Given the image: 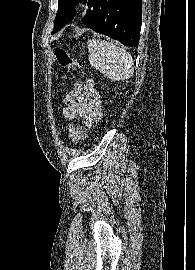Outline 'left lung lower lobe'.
<instances>
[{
	"label": "left lung lower lobe",
	"instance_id": "1",
	"mask_svg": "<svg viewBox=\"0 0 195 270\" xmlns=\"http://www.w3.org/2000/svg\"><path fill=\"white\" fill-rule=\"evenodd\" d=\"M82 22L97 33L138 47L142 24L141 0H89Z\"/></svg>",
	"mask_w": 195,
	"mask_h": 270
}]
</instances>
